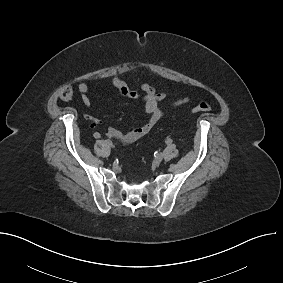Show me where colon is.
Segmentation results:
<instances>
[{
  "mask_svg": "<svg viewBox=\"0 0 283 283\" xmlns=\"http://www.w3.org/2000/svg\"><path fill=\"white\" fill-rule=\"evenodd\" d=\"M60 98L63 101H70L73 98V90L70 86H65L60 91ZM211 109V104L208 101H201L198 103L193 109L192 112L198 113V112H206Z\"/></svg>",
  "mask_w": 283,
  "mask_h": 283,
  "instance_id": "1",
  "label": "colon"
}]
</instances>
